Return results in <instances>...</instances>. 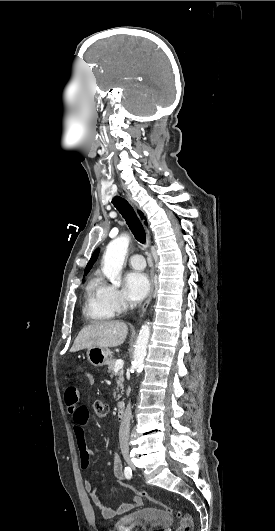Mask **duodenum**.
I'll use <instances>...</instances> for the list:
<instances>
[{
  "mask_svg": "<svg viewBox=\"0 0 275 531\" xmlns=\"http://www.w3.org/2000/svg\"><path fill=\"white\" fill-rule=\"evenodd\" d=\"M116 410H117L118 417L122 418L125 414L126 403L124 401L118 402L116 406Z\"/></svg>",
  "mask_w": 275,
  "mask_h": 531,
  "instance_id": "obj_1",
  "label": "duodenum"
}]
</instances>
